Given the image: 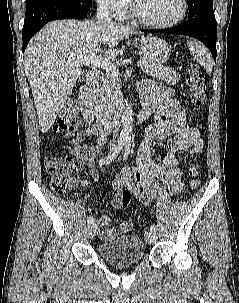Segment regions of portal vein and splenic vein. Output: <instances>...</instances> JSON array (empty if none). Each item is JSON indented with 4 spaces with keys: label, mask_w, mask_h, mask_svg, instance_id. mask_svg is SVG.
<instances>
[{
    "label": "portal vein and splenic vein",
    "mask_w": 239,
    "mask_h": 303,
    "mask_svg": "<svg viewBox=\"0 0 239 303\" xmlns=\"http://www.w3.org/2000/svg\"><path fill=\"white\" fill-rule=\"evenodd\" d=\"M95 54L96 53H92L88 57L77 58L74 62L77 64H80V65L84 64V65H93L95 67H101V68L105 69L108 73H110L116 77L119 75V70L115 64L111 63L109 60H107L105 58L98 57ZM137 66L144 68V69L150 68V65H148L144 61H138Z\"/></svg>",
    "instance_id": "1"
}]
</instances>
